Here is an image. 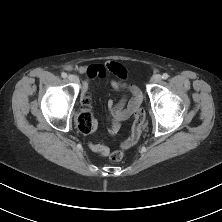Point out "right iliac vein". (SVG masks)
Masks as SVG:
<instances>
[{
	"mask_svg": "<svg viewBox=\"0 0 222 222\" xmlns=\"http://www.w3.org/2000/svg\"><path fill=\"white\" fill-rule=\"evenodd\" d=\"M69 81L73 82V83H78L79 79L76 75H69L68 76Z\"/></svg>",
	"mask_w": 222,
	"mask_h": 222,
	"instance_id": "63e3f726",
	"label": "right iliac vein"
}]
</instances>
